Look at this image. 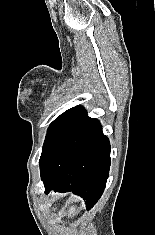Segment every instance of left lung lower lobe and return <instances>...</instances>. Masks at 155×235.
<instances>
[{
	"mask_svg": "<svg viewBox=\"0 0 155 235\" xmlns=\"http://www.w3.org/2000/svg\"><path fill=\"white\" fill-rule=\"evenodd\" d=\"M110 168V144L97 119L88 117L41 167L45 193L72 191L92 208L101 197Z\"/></svg>",
	"mask_w": 155,
	"mask_h": 235,
	"instance_id": "left-lung-lower-lobe-1",
	"label": "left lung lower lobe"
}]
</instances>
